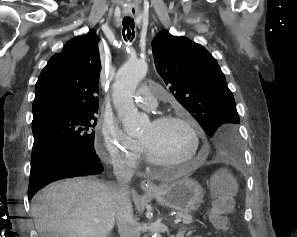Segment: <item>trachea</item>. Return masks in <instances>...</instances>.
Here are the masks:
<instances>
[{
  "label": "trachea",
  "instance_id": "3493384b",
  "mask_svg": "<svg viewBox=\"0 0 297 237\" xmlns=\"http://www.w3.org/2000/svg\"><path fill=\"white\" fill-rule=\"evenodd\" d=\"M123 29L122 35L125 40H133L135 36L134 32V20L131 17H125L122 21Z\"/></svg>",
  "mask_w": 297,
  "mask_h": 237
}]
</instances>
